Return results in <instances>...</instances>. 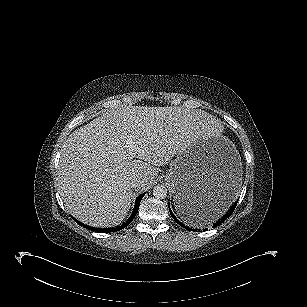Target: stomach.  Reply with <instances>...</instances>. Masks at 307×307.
Wrapping results in <instances>:
<instances>
[{"instance_id":"stomach-1","label":"stomach","mask_w":307,"mask_h":307,"mask_svg":"<svg viewBox=\"0 0 307 307\" xmlns=\"http://www.w3.org/2000/svg\"><path fill=\"white\" fill-rule=\"evenodd\" d=\"M165 181L183 219L210 208H227L241 190V158L226 137H200L178 151Z\"/></svg>"}]
</instances>
